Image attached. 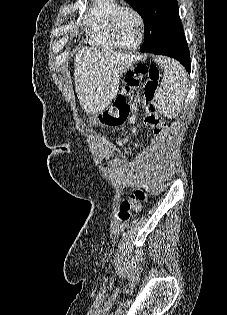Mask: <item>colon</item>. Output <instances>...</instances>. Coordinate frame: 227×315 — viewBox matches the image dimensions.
<instances>
[{"mask_svg": "<svg viewBox=\"0 0 227 315\" xmlns=\"http://www.w3.org/2000/svg\"><path fill=\"white\" fill-rule=\"evenodd\" d=\"M147 78L144 87L143 121L151 128L155 135H163L167 131V124L157 113L153 101L158 91L160 71L154 64L140 63L132 66L126 75L124 92L108 109L98 114L92 121L96 125L117 126L123 124L131 111L128 98H132L134 89L139 86L141 80ZM149 188L143 187L136 190L120 205V216L126 218L131 210H139L146 201Z\"/></svg>", "mask_w": 227, "mask_h": 315, "instance_id": "obj_1", "label": "colon"}]
</instances>
